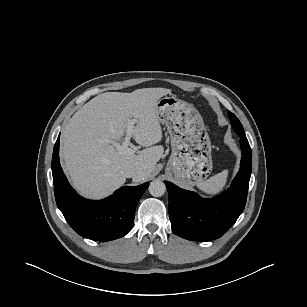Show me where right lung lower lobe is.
<instances>
[{
  "mask_svg": "<svg viewBox=\"0 0 307 307\" xmlns=\"http://www.w3.org/2000/svg\"><path fill=\"white\" fill-rule=\"evenodd\" d=\"M58 137L52 156L56 203L69 225L80 236L96 241H110L126 235L135 218L136 206L149 183L123 186L104 200L79 196L70 186L59 161Z\"/></svg>",
  "mask_w": 307,
  "mask_h": 307,
  "instance_id": "1",
  "label": "right lung lower lobe"
}]
</instances>
